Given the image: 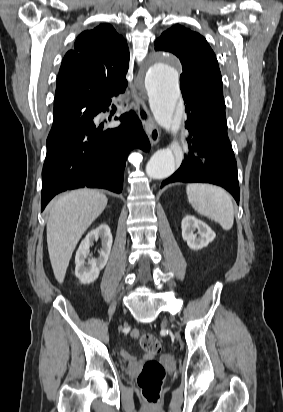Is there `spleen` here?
Listing matches in <instances>:
<instances>
[{"label":"spleen","mask_w":283,"mask_h":412,"mask_svg":"<svg viewBox=\"0 0 283 412\" xmlns=\"http://www.w3.org/2000/svg\"><path fill=\"white\" fill-rule=\"evenodd\" d=\"M186 193L197 213L219 223L224 230L233 227L234 208L226 191L213 185L193 183L187 185Z\"/></svg>","instance_id":"obj_1"}]
</instances>
